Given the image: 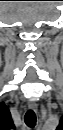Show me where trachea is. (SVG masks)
<instances>
[{
    "instance_id": "3493384b",
    "label": "trachea",
    "mask_w": 63,
    "mask_h": 130,
    "mask_svg": "<svg viewBox=\"0 0 63 130\" xmlns=\"http://www.w3.org/2000/svg\"><path fill=\"white\" fill-rule=\"evenodd\" d=\"M24 121L25 124L30 128H33L36 125V114L32 109L26 112L24 116Z\"/></svg>"
}]
</instances>
